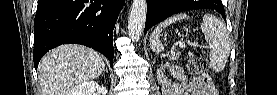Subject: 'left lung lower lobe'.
I'll return each instance as SVG.
<instances>
[{"label": "left lung lower lobe", "instance_id": "0a47b994", "mask_svg": "<svg viewBox=\"0 0 277 95\" xmlns=\"http://www.w3.org/2000/svg\"><path fill=\"white\" fill-rule=\"evenodd\" d=\"M197 2L205 3L207 6H185L180 3V0H147V15L144 33L167 17L181 11L212 9L218 11L225 18V11L221 0H198Z\"/></svg>", "mask_w": 277, "mask_h": 95}]
</instances>
